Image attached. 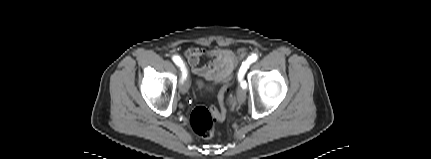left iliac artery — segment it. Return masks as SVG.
<instances>
[{
  "label": "left iliac artery",
  "mask_w": 431,
  "mask_h": 159,
  "mask_svg": "<svg viewBox=\"0 0 431 159\" xmlns=\"http://www.w3.org/2000/svg\"><path fill=\"white\" fill-rule=\"evenodd\" d=\"M258 59L257 54H252L247 58L245 62L242 63V66L240 67L239 73H238V80L240 82V85L243 89L247 88L246 81L243 80L244 74L247 71V68H249V65L255 62Z\"/></svg>",
  "instance_id": "44dca946"
}]
</instances>
